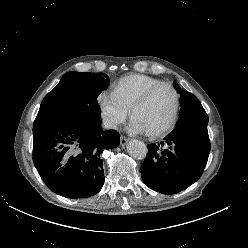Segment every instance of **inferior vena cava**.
<instances>
[{"label":"inferior vena cava","mask_w":248,"mask_h":248,"mask_svg":"<svg viewBox=\"0 0 248 248\" xmlns=\"http://www.w3.org/2000/svg\"><path fill=\"white\" fill-rule=\"evenodd\" d=\"M103 126L106 129H114V130H116L118 128L117 127V122L112 120V119H108V118L103 120Z\"/></svg>","instance_id":"obj_1"}]
</instances>
